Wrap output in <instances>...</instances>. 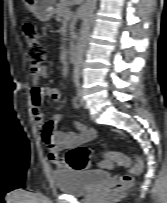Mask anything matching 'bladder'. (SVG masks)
<instances>
[{
    "label": "bladder",
    "mask_w": 167,
    "mask_h": 203,
    "mask_svg": "<svg viewBox=\"0 0 167 203\" xmlns=\"http://www.w3.org/2000/svg\"><path fill=\"white\" fill-rule=\"evenodd\" d=\"M110 178V173L100 170L59 168L52 172L57 190L70 195L88 193L98 185L109 181Z\"/></svg>",
    "instance_id": "1"
}]
</instances>
